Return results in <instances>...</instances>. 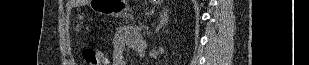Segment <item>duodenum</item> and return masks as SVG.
Listing matches in <instances>:
<instances>
[{"label":"duodenum","mask_w":309,"mask_h":65,"mask_svg":"<svg viewBox=\"0 0 309 65\" xmlns=\"http://www.w3.org/2000/svg\"><path fill=\"white\" fill-rule=\"evenodd\" d=\"M137 52L140 56H143L144 55V50H143V47H140L137 49Z\"/></svg>","instance_id":"duodenum-1"}]
</instances>
